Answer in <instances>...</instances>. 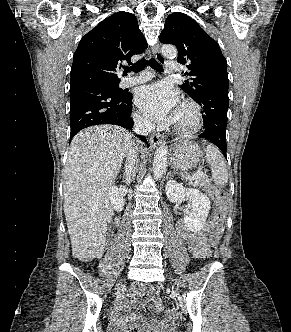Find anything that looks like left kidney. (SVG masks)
<instances>
[{
    "mask_svg": "<svg viewBox=\"0 0 291 332\" xmlns=\"http://www.w3.org/2000/svg\"><path fill=\"white\" fill-rule=\"evenodd\" d=\"M170 202L175 203L188 196L191 199V211L184 216V224L188 230L200 231L205 224L210 210V200L207 195L194 188H185L175 180H169L165 186Z\"/></svg>",
    "mask_w": 291,
    "mask_h": 332,
    "instance_id": "left-kidney-1",
    "label": "left kidney"
}]
</instances>
